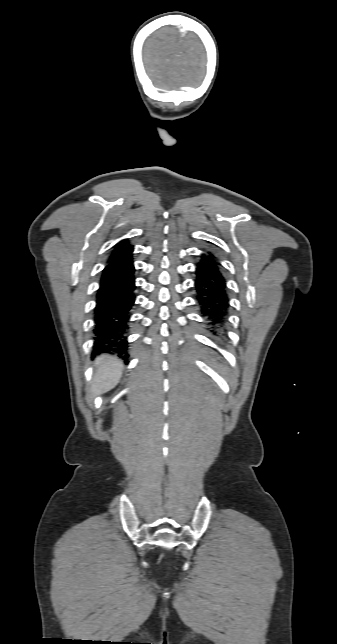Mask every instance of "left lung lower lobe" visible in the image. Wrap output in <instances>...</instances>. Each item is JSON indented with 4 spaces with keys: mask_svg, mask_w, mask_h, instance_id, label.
Returning a JSON list of instances; mask_svg holds the SVG:
<instances>
[{
    "mask_svg": "<svg viewBox=\"0 0 337 644\" xmlns=\"http://www.w3.org/2000/svg\"><path fill=\"white\" fill-rule=\"evenodd\" d=\"M195 274L196 301L202 317L213 334H222L230 305L221 264L213 254H202Z\"/></svg>",
    "mask_w": 337,
    "mask_h": 644,
    "instance_id": "1",
    "label": "left lung lower lobe"
}]
</instances>
